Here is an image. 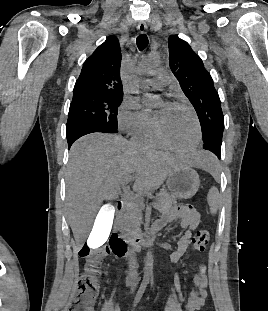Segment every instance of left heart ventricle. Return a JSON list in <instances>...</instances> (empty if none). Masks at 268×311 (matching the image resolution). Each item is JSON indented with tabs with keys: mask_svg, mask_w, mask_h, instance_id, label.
Listing matches in <instances>:
<instances>
[{
	"mask_svg": "<svg viewBox=\"0 0 268 311\" xmlns=\"http://www.w3.org/2000/svg\"><path fill=\"white\" fill-rule=\"evenodd\" d=\"M164 137L180 148L190 147L196 139V127L190 113L171 104H161L155 110Z\"/></svg>",
	"mask_w": 268,
	"mask_h": 311,
	"instance_id": "1",
	"label": "left heart ventricle"
}]
</instances>
